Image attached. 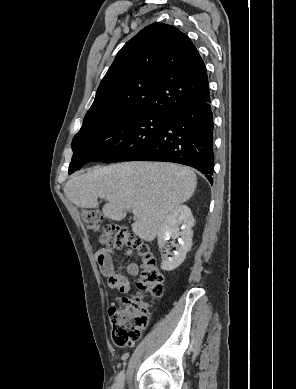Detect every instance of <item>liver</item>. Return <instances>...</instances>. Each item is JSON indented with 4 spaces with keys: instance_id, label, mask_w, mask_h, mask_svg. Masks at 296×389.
<instances>
[{
    "instance_id": "1",
    "label": "liver",
    "mask_w": 296,
    "mask_h": 389,
    "mask_svg": "<svg viewBox=\"0 0 296 389\" xmlns=\"http://www.w3.org/2000/svg\"><path fill=\"white\" fill-rule=\"evenodd\" d=\"M197 185L188 167L165 162H127L95 167L74 175L64 186L66 197L81 208H96L104 198L103 215L121 221L136 210L132 231L153 241L166 216L189 200Z\"/></svg>"
}]
</instances>
